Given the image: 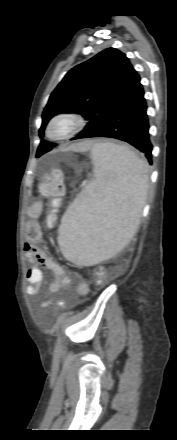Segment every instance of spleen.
Returning a JSON list of instances; mask_svg holds the SVG:
<instances>
[{
    "label": "spleen",
    "instance_id": "1",
    "mask_svg": "<svg viewBox=\"0 0 177 440\" xmlns=\"http://www.w3.org/2000/svg\"><path fill=\"white\" fill-rule=\"evenodd\" d=\"M95 180L64 213L58 229L63 256L94 265L120 252L134 236L147 192V164L129 147L97 143Z\"/></svg>",
    "mask_w": 177,
    "mask_h": 440
}]
</instances>
